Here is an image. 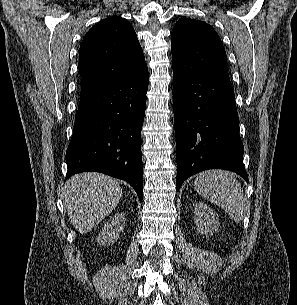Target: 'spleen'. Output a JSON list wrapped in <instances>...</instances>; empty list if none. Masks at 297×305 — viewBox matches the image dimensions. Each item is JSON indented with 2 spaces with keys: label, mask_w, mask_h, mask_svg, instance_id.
Wrapping results in <instances>:
<instances>
[{
  "label": "spleen",
  "mask_w": 297,
  "mask_h": 305,
  "mask_svg": "<svg viewBox=\"0 0 297 305\" xmlns=\"http://www.w3.org/2000/svg\"><path fill=\"white\" fill-rule=\"evenodd\" d=\"M194 186L204 198L221 206L235 222L241 221L245 197L240 183L232 173L223 170L200 173Z\"/></svg>",
  "instance_id": "1"
}]
</instances>
